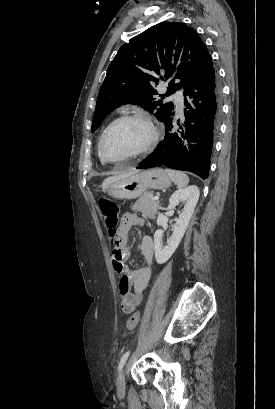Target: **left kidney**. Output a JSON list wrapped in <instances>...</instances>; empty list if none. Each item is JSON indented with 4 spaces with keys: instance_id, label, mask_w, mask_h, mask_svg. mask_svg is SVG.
Instances as JSON below:
<instances>
[{
    "instance_id": "left-kidney-1",
    "label": "left kidney",
    "mask_w": 275,
    "mask_h": 409,
    "mask_svg": "<svg viewBox=\"0 0 275 409\" xmlns=\"http://www.w3.org/2000/svg\"><path fill=\"white\" fill-rule=\"evenodd\" d=\"M199 198V188L196 184H191V186H186V188H180L173 192L169 198V205L167 207L168 211L175 209L179 202H183L184 209H182L179 219H177L176 225H174L173 233L167 241L166 247H163V233L162 229L154 233V247H155V259L158 265H163L166 263L173 253H175L179 243H181L182 237L189 225V221L194 213V209L197 205V200ZM168 219L165 215H159L157 217V225H166Z\"/></svg>"
}]
</instances>
